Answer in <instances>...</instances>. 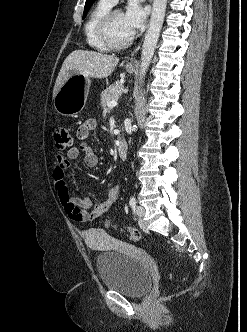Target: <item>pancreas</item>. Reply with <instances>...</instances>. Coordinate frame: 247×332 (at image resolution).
Returning <instances> with one entry per match:
<instances>
[{"label": "pancreas", "mask_w": 247, "mask_h": 332, "mask_svg": "<svg viewBox=\"0 0 247 332\" xmlns=\"http://www.w3.org/2000/svg\"><path fill=\"white\" fill-rule=\"evenodd\" d=\"M123 85L116 83L115 85L106 88L101 93V106L106 107L107 103L110 101H116L122 95Z\"/></svg>", "instance_id": "cf45deb5"}]
</instances>
